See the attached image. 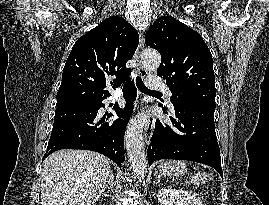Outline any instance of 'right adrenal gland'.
<instances>
[{"instance_id": "1", "label": "right adrenal gland", "mask_w": 269, "mask_h": 205, "mask_svg": "<svg viewBox=\"0 0 269 205\" xmlns=\"http://www.w3.org/2000/svg\"><path fill=\"white\" fill-rule=\"evenodd\" d=\"M114 186V174L111 172L109 175V179L107 181V184L103 188V192L105 190H112Z\"/></svg>"}]
</instances>
